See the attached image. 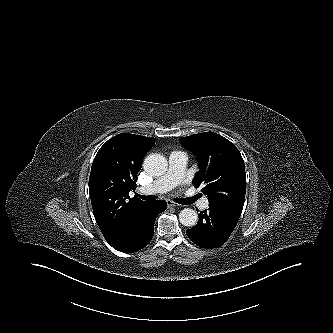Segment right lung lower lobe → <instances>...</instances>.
I'll list each match as a JSON object with an SVG mask.
<instances>
[{
  "label": "right lung lower lobe",
  "mask_w": 333,
  "mask_h": 333,
  "mask_svg": "<svg viewBox=\"0 0 333 333\" xmlns=\"http://www.w3.org/2000/svg\"><path fill=\"white\" fill-rule=\"evenodd\" d=\"M166 208L167 203L164 200L150 202L131 218L123 235L111 246L125 253L144 248L153 237L157 216Z\"/></svg>",
  "instance_id": "1"
}]
</instances>
